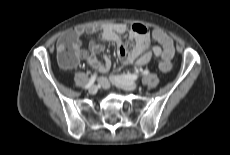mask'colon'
Returning <instances> with one entry per match:
<instances>
[{"label":"colon","instance_id":"5ec220e1","mask_svg":"<svg viewBox=\"0 0 230 155\" xmlns=\"http://www.w3.org/2000/svg\"><path fill=\"white\" fill-rule=\"evenodd\" d=\"M74 40L71 39L66 43H62L57 49V59L64 67H72L78 58L85 55L84 52H77L74 48ZM174 51L170 48L164 51L162 55V60L159 64V68L167 72L171 69V59L173 57Z\"/></svg>","mask_w":230,"mask_h":155}]
</instances>
